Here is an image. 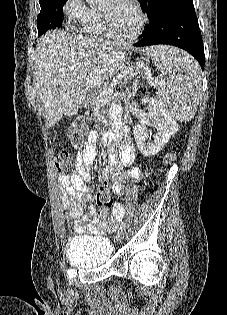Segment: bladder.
Segmentation results:
<instances>
[{
  "label": "bladder",
  "instance_id": "obj_1",
  "mask_svg": "<svg viewBox=\"0 0 227 315\" xmlns=\"http://www.w3.org/2000/svg\"><path fill=\"white\" fill-rule=\"evenodd\" d=\"M113 247L102 236H76L67 245L66 257L77 267L96 268L112 258Z\"/></svg>",
  "mask_w": 227,
  "mask_h": 315
}]
</instances>
